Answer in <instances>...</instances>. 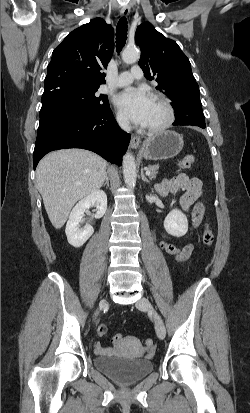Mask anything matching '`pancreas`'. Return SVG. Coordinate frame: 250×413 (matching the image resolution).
Returning <instances> with one entry per match:
<instances>
[{
  "instance_id": "cf45deb5",
  "label": "pancreas",
  "mask_w": 250,
  "mask_h": 413,
  "mask_svg": "<svg viewBox=\"0 0 250 413\" xmlns=\"http://www.w3.org/2000/svg\"><path fill=\"white\" fill-rule=\"evenodd\" d=\"M158 168V165L149 166L147 168L151 172V174L149 175L150 179H154L156 177Z\"/></svg>"
}]
</instances>
